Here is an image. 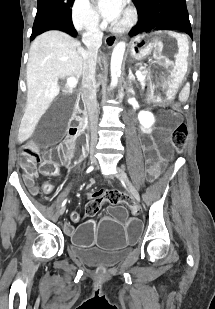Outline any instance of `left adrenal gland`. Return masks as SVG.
Instances as JSON below:
<instances>
[{"label":"left adrenal gland","mask_w":215,"mask_h":309,"mask_svg":"<svg viewBox=\"0 0 215 309\" xmlns=\"http://www.w3.org/2000/svg\"><path fill=\"white\" fill-rule=\"evenodd\" d=\"M128 80L129 82H133V80L136 82V78L133 76L131 68H129Z\"/></svg>","instance_id":"obj_1"}]
</instances>
